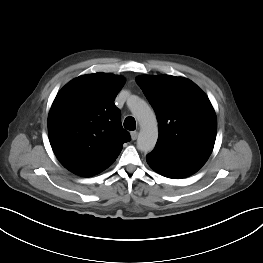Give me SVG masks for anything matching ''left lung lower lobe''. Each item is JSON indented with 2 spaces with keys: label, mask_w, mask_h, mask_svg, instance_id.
I'll return each mask as SVG.
<instances>
[{
  "label": "left lung lower lobe",
  "mask_w": 263,
  "mask_h": 263,
  "mask_svg": "<svg viewBox=\"0 0 263 263\" xmlns=\"http://www.w3.org/2000/svg\"><path fill=\"white\" fill-rule=\"evenodd\" d=\"M149 166L168 178H184L197 172L207 161V156L175 154L154 149L146 156Z\"/></svg>",
  "instance_id": "0a47b994"
}]
</instances>
